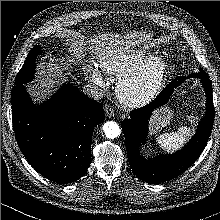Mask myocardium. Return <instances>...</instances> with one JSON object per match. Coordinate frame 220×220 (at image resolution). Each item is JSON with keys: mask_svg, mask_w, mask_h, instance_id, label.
Returning a JSON list of instances; mask_svg holds the SVG:
<instances>
[{"mask_svg": "<svg viewBox=\"0 0 220 220\" xmlns=\"http://www.w3.org/2000/svg\"><path fill=\"white\" fill-rule=\"evenodd\" d=\"M168 72L162 55H150L117 82V94L129 107H141L151 102L161 90Z\"/></svg>", "mask_w": 220, "mask_h": 220, "instance_id": "f54148a6", "label": "myocardium"}]
</instances>
